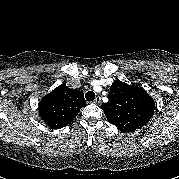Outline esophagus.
Returning a JSON list of instances; mask_svg holds the SVG:
<instances>
[{
	"instance_id": "1",
	"label": "esophagus",
	"mask_w": 179,
	"mask_h": 179,
	"mask_svg": "<svg viewBox=\"0 0 179 179\" xmlns=\"http://www.w3.org/2000/svg\"><path fill=\"white\" fill-rule=\"evenodd\" d=\"M95 104H99L101 102V97L100 96H96V98L93 101Z\"/></svg>"
}]
</instances>
